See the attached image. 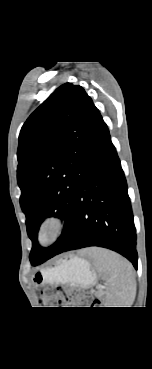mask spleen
Returning <instances> with one entry per match:
<instances>
[{"mask_svg": "<svg viewBox=\"0 0 152 369\" xmlns=\"http://www.w3.org/2000/svg\"><path fill=\"white\" fill-rule=\"evenodd\" d=\"M91 256L95 266L108 279L107 303L109 305H130L135 281L131 264L115 252L94 249ZM130 307V306H111Z\"/></svg>", "mask_w": 152, "mask_h": 369, "instance_id": "1", "label": "spleen"}]
</instances>
